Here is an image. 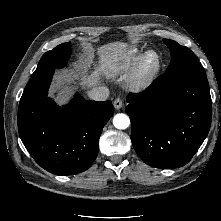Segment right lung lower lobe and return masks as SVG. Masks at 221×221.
Instances as JSON below:
<instances>
[{"instance_id":"1","label":"right lung lower lobe","mask_w":221,"mask_h":221,"mask_svg":"<svg viewBox=\"0 0 221 221\" xmlns=\"http://www.w3.org/2000/svg\"><path fill=\"white\" fill-rule=\"evenodd\" d=\"M55 69L33 73L18 109L20 138L45 170L73 175L87 170L98 154L102 129L114 114L111 101H87L79 94L60 108L47 92Z\"/></svg>"}]
</instances>
